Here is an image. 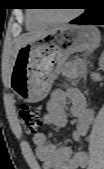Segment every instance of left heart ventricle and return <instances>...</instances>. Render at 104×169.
Segmentation results:
<instances>
[{
	"mask_svg": "<svg viewBox=\"0 0 104 169\" xmlns=\"http://www.w3.org/2000/svg\"><path fill=\"white\" fill-rule=\"evenodd\" d=\"M70 11H64V10H57V11H50V13L48 14V16L50 18H61L66 16Z\"/></svg>",
	"mask_w": 104,
	"mask_h": 169,
	"instance_id": "obj_1",
	"label": "left heart ventricle"
}]
</instances>
